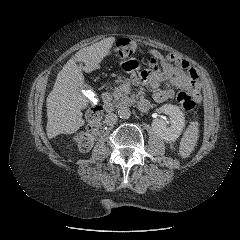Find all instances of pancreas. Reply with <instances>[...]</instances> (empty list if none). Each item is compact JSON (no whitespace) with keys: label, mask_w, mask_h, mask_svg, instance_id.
<instances>
[{"label":"pancreas","mask_w":240,"mask_h":240,"mask_svg":"<svg viewBox=\"0 0 240 240\" xmlns=\"http://www.w3.org/2000/svg\"><path fill=\"white\" fill-rule=\"evenodd\" d=\"M129 101L130 98L123 93L121 87L115 88L113 93L104 100L105 103H112L115 107L127 105Z\"/></svg>","instance_id":"obj_1"}]
</instances>
